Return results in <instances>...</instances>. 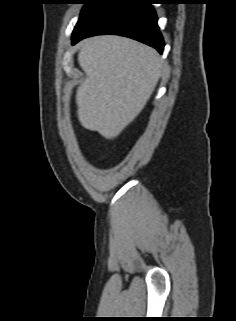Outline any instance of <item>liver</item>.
<instances>
[{"instance_id": "obj_1", "label": "liver", "mask_w": 236, "mask_h": 321, "mask_svg": "<svg viewBox=\"0 0 236 321\" xmlns=\"http://www.w3.org/2000/svg\"><path fill=\"white\" fill-rule=\"evenodd\" d=\"M78 62L86 74L76 92L79 122L106 139L116 138L139 115L163 69L155 49L114 35L82 41Z\"/></svg>"}]
</instances>
